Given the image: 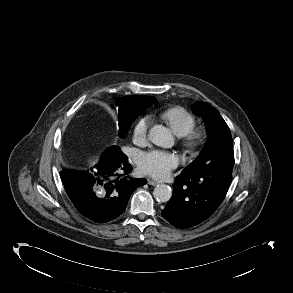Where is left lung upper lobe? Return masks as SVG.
<instances>
[{"label":"left lung upper lobe","instance_id":"1","mask_svg":"<svg viewBox=\"0 0 293 293\" xmlns=\"http://www.w3.org/2000/svg\"><path fill=\"white\" fill-rule=\"evenodd\" d=\"M192 110L204 118L209 139L200 155L183 171L233 169L234 152L230 129L218 110L203 101L194 103Z\"/></svg>","mask_w":293,"mask_h":293}]
</instances>
